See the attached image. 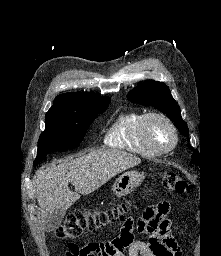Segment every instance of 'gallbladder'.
Here are the masks:
<instances>
[{"label": "gallbladder", "mask_w": 221, "mask_h": 256, "mask_svg": "<svg viewBox=\"0 0 221 256\" xmlns=\"http://www.w3.org/2000/svg\"><path fill=\"white\" fill-rule=\"evenodd\" d=\"M65 217V211L60 209H55L54 211L48 214V217L45 221V229L47 231L54 230Z\"/></svg>", "instance_id": "gallbladder-1"}]
</instances>
